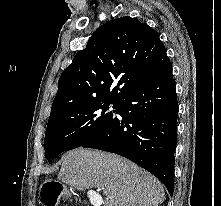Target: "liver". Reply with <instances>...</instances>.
<instances>
[{
	"label": "liver",
	"mask_w": 221,
	"mask_h": 206,
	"mask_svg": "<svg viewBox=\"0 0 221 206\" xmlns=\"http://www.w3.org/2000/svg\"><path fill=\"white\" fill-rule=\"evenodd\" d=\"M58 177L79 190L101 189L106 196L104 206H158L165 199L156 177L113 153L83 148L69 151L62 158Z\"/></svg>",
	"instance_id": "1"
}]
</instances>
